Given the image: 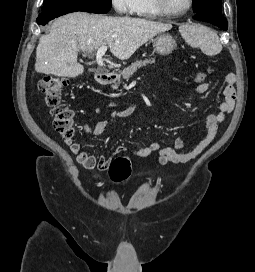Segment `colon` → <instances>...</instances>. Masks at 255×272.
Instances as JSON below:
<instances>
[{
    "mask_svg": "<svg viewBox=\"0 0 255 272\" xmlns=\"http://www.w3.org/2000/svg\"><path fill=\"white\" fill-rule=\"evenodd\" d=\"M207 74L203 71L196 73L195 81L200 84L206 82ZM68 85V80L61 76H45L39 82L46 105L53 117V127L65 139H71L75 133L72 111L61 102V95ZM131 172V162L126 157L115 159L109 167V176L114 182H121Z\"/></svg>",
    "mask_w": 255,
    "mask_h": 272,
    "instance_id": "5ec220e1",
    "label": "colon"
}]
</instances>
